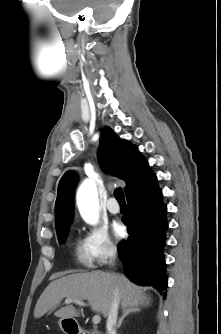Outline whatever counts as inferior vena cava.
Here are the masks:
<instances>
[{"mask_svg":"<svg viewBox=\"0 0 221 334\" xmlns=\"http://www.w3.org/2000/svg\"><path fill=\"white\" fill-rule=\"evenodd\" d=\"M117 255V250L115 247L110 248L109 252V264H113ZM118 307H119V297L117 292L114 293V299L111 304V308L108 313L106 327L108 334H116V322L118 317Z\"/></svg>","mask_w":221,"mask_h":334,"instance_id":"inferior-vena-cava-1","label":"inferior vena cava"}]
</instances>
